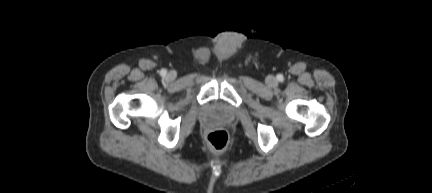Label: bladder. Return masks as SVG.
<instances>
[{"instance_id":"obj_1","label":"bladder","mask_w":432,"mask_h":193,"mask_svg":"<svg viewBox=\"0 0 432 193\" xmlns=\"http://www.w3.org/2000/svg\"><path fill=\"white\" fill-rule=\"evenodd\" d=\"M221 109H222V106L220 104H215L213 106V110H215V111H220Z\"/></svg>"}]
</instances>
